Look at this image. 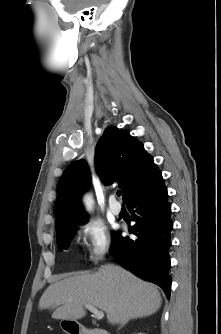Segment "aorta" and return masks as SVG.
Masks as SVG:
<instances>
[{"label": "aorta", "mask_w": 221, "mask_h": 334, "mask_svg": "<svg viewBox=\"0 0 221 334\" xmlns=\"http://www.w3.org/2000/svg\"><path fill=\"white\" fill-rule=\"evenodd\" d=\"M91 204H92L91 198H90V197H87V198H86V205H87V207L90 208V207H91Z\"/></svg>", "instance_id": "obj_1"}]
</instances>
